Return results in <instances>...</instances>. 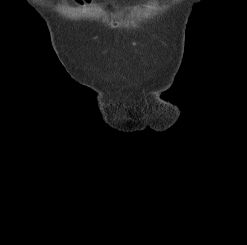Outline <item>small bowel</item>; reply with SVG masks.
<instances>
[{
    "label": "small bowel",
    "mask_w": 247,
    "mask_h": 245,
    "mask_svg": "<svg viewBox=\"0 0 247 245\" xmlns=\"http://www.w3.org/2000/svg\"><path fill=\"white\" fill-rule=\"evenodd\" d=\"M74 1H75L76 4L82 5V4L90 2L91 0H74Z\"/></svg>",
    "instance_id": "small-bowel-1"
}]
</instances>
